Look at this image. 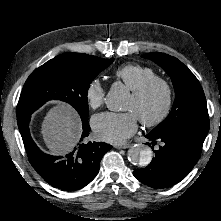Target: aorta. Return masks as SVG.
<instances>
[{
    "mask_svg": "<svg viewBox=\"0 0 221 221\" xmlns=\"http://www.w3.org/2000/svg\"><path fill=\"white\" fill-rule=\"evenodd\" d=\"M128 96V91L123 85L112 86L106 97L107 108L111 111L122 110ZM152 156L151 148L145 145L136 144L128 150V160L135 166L146 167L150 164Z\"/></svg>",
    "mask_w": 221,
    "mask_h": 221,
    "instance_id": "762f6f07",
    "label": "aorta"
}]
</instances>
